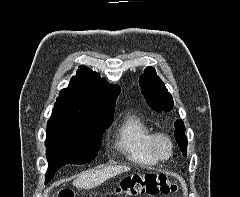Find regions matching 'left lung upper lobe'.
Segmentation results:
<instances>
[{"instance_id":"1","label":"left lung upper lobe","mask_w":240,"mask_h":197,"mask_svg":"<svg viewBox=\"0 0 240 197\" xmlns=\"http://www.w3.org/2000/svg\"><path fill=\"white\" fill-rule=\"evenodd\" d=\"M141 93L147 104L157 112H169L173 106V99L164 83L157 76L155 69L147 67L139 78ZM185 127L182 120L175 122L174 136L179 144L180 150L186 156L187 137L185 136Z\"/></svg>"}]
</instances>
